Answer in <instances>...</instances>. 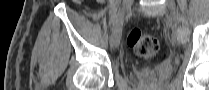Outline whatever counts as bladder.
<instances>
[{"label":"bladder","instance_id":"31cf9c89","mask_svg":"<svg viewBox=\"0 0 209 90\" xmlns=\"http://www.w3.org/2000/svg\"><path fill=\"white\" fill-rule=\"evenodd\" d=\"M136 78L140 86L145 90L158 86V77L156 70L153 68L143 67L135 72Z\"/></svg>","mask_w":209,"mask_h":90}]
</instances>
